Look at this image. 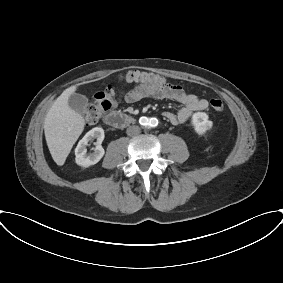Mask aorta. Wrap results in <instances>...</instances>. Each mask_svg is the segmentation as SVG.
I'll list each match as a JSON object with an SVG mask.
<instances>
[{
    "instance_id": "1",
    "label": "aorta",
    "mask_w": 283,
    "mask_h": 283,
    "mask_svg": "<svg viewBox=\"0 0 283 283\" xmlns=\"http://www.w3.org/2000/svg\"><path fill=\"white\" fill-rule=\"evenodd\" d=\"M141 124L144 126H154V119L152 118H147V117H142L141 118Z\"/></svg>"
}]
</instances>
